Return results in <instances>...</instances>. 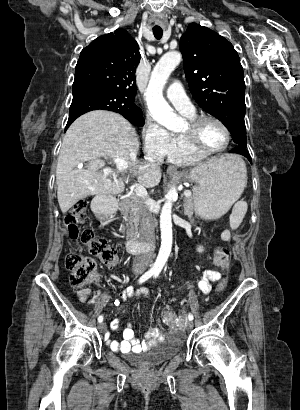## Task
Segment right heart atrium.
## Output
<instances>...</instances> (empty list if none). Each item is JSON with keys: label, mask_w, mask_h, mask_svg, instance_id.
<instances>
[{"label": "right heart atrium", "mask_w": 300, "mask_h": 410, "mask_svg": "<svg viewBox=\"0 0 300 410\" xmlns=\"http://www.w3.org/2000/svg\"><path fill=\"white\" fill-rule=\"evenodd\" d=\"M142 139L144 152L147 156L156 160H161L166 156L170 147L171 135L150 115L144 119Z\"/></svg>", "instance_id": "d8ad5b80"}]
</instances>
